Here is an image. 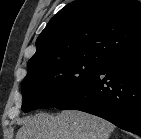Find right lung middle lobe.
<instances>
[{
  "label": "right lung middle lobe",
  "mask_w": 141,
  "mask_h": 139,
  "mask_svg": "<svg viewBox=\"0 0 141 139\" xmlns=\"http://www.w3.org/2000/svg\"><path fill=\"white\" fill-rule=\"evenodd\" d=\"M104 62L85 56L29 69L22 82V109L55 107L87 84Z\"/></svg>",
  "instance_id": "dd1d6c3e"
}]
</instances>
